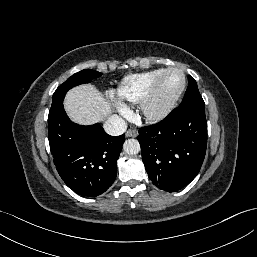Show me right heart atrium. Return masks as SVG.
Segmentation results:
<instances>
[{
  "label": "right heart atrium",
  "mask_w": 257,
  "mask_h": 257,
  "mask_svg": "<svg viewBox=\"0 0 257 257\" xmlns=\"http://www.w3.org/2000/svg\"><path fill=\"white\" fill-rule=\"evenodd\" d=\"M119 110L123 116H127L129 114V111L126 108H120Z\"/></svg>",
  "instance_id": "obj_1"
}]
</instances>
